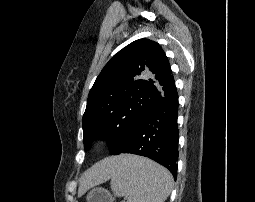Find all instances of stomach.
I'll return each instance as SVG.
<instances>
[{
	"instance_id": "0dacf381",
	"label": "stomach",
	"mask_w": 255,
	"mask_h": 202,
	"mask_svg": "<svg viewBox=\"0 0 255 202\" xmlns=\"http://www.w3.org/2000/svg\"><path fill=\"white\" fill-rule=\"evenodd\" d=\"M87 202H113L112 195L103 188H93L86 196Z\"/></svg>"
}]
</instances>
